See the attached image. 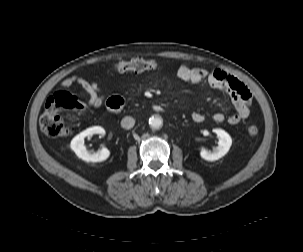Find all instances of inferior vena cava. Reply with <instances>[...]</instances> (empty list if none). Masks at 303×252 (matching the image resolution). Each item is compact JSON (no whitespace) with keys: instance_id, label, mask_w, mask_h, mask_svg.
I'll return each mask as SVG.
<instances>
[{"instance_id":"inferior-vena-cava-1","label":"inferior vena cava","mask_w":303,"mask_h":252,"mask_svg":"<svg viewBox=\"0 0 303 252\" xmlns=\"http://www.w3.org/2000/svg\"><path fill=\"white\" fill-rule=\"evenodd\" d=\"M135 120L130 116H126L121 121V126L125 129H130L134 126Z\"/></svg>"}]
</instances>
